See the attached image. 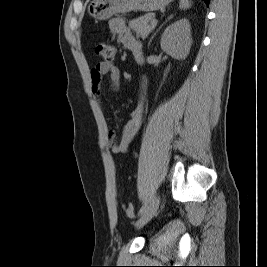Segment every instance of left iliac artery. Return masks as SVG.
Here are the masks:
<instances>
[{"instance_id":"44dca946","label":"left iliac artery","mask_w":267,"mask_h":267,"mask_svg":"<svg viewBox=\"0 0 267 267\" xmlns=\"http://www.w3.org/2000/svg\"><path fill=\"white\" fill-rule=\"evenodd\" d=\"M147 205H148V202H145V203L142 205V207L140 208V210H139V212H138L139 215H141V214L145 211Z\"/></svg>"}]
</instances>
